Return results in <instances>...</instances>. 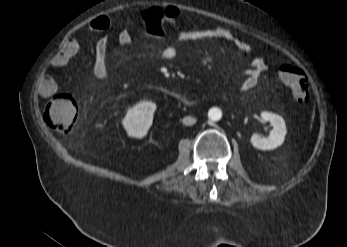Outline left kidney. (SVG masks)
I'll list each match as a JSON object with an SVG mask.
<instances>
[{"label":"left kidney","mask_w":347,"mask_h":247,"mask_svg":"<svg viewBox=\"0 0 347 247\" xmlns=\"http://www.w3.org/2000/svg\"><path fill=\"white\" fill-rule=\"evenodd\" d=\"M261 118L264 121H269L273 125L269 137L261 138L258 134L251 136V144L260 150H273L279 147L285 139L287 133L284 119L273 112L263 111Z\"/></svg>","instance_id":"obj_1"}]
</instances>
